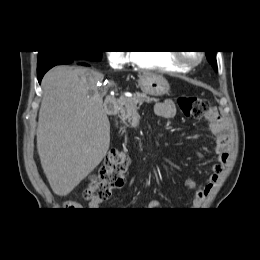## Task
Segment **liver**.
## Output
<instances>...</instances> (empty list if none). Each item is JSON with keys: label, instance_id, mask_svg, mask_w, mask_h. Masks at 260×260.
Returning a JSON list of instances; mask_svg holds the SVG:
<instances>
[{"label": "liver", "instance_id": "1", "mask_svg": "<svg viewBox=\"0 0 260 260\" xmlns=\"http://www.w3.org/2000/svg\"><path fill=\"white\" fill-rule=\"evenodd\" d=\"M148 75H156L146 72ZM103 74L57 66L42 80L37 151L54 194L68 195L106 156L110 122L103 107Z\"/></svg>", "mask_w": 260, "mask_h": 260}]
</instances>
